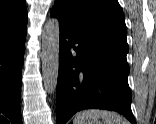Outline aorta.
I'll use <instances>...</instances> for the list:
<instances>
[{
	"label": "aorta",
	"mask_w": 156,
	"mask_h": 124,
	"mask_svg": "<svg viewBox=\"0 0 156 124\" xmlns=\"http://www.w3.org/2000/svg\"><path fill=\"white\" fill-rule=\"evenodd\" d=\"M60 26L56 18L49 19L42 32V77L44 88L54 93L57 87L59 70Z\"/></svg>",
	"instance_id": "1"
}]
</instances>
